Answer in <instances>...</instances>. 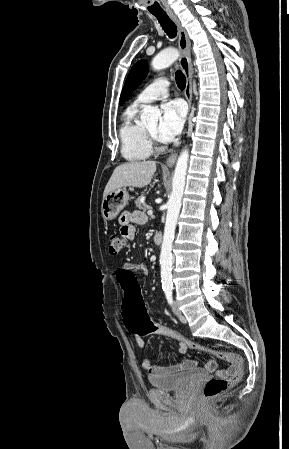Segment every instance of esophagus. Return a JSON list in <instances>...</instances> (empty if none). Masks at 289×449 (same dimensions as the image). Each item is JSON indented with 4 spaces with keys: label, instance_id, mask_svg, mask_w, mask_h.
I'll return each instance as SVG.
<instances>
[{
    "label": "esophagus",
    "instance_id": "esophagus-1",
    "mask_svg": "<svg viewBox=\"0 0 289 449\" xmlns=\"http://www.w3.org/2000/svg\"><path fill=\"white\" fill-rule=\"evenodd\" d=\"M170 18L174 21L178 28V46L180 50L179 64L186 77V87H185V99L187 100L189 110L191 108L192 102V64H191V53H190V41L188 35L181 25L177 17L170 12ZM178 153L172 154L166 161L168 167H172L177 159Z\"/></svg>",
    "mask_w": 289,
    "mask_h": 449
}]
</instances>
